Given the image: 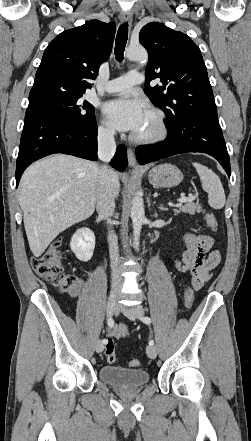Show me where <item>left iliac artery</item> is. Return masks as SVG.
<instances>
[{
  "mask_svg": "<svg viewBox=\"0 0 251 441\" xmlns=\"http://www.w3.org/2000/svg\"><path fill=\"white\" fill-rule=\"evenodd\" d=\"M139 319L143 322V323H145V324H150L151 323V319L149 318V317H147V316H141V317H139ZM149 345H154V341L153 340H150L149 341Z\"/></svg>",
  "mask_w": 251,
  "mask_h": 441,
  "instance_id": "left-iliac-artery-1",
  "label": "left iliac artery"
}]
</instances>
